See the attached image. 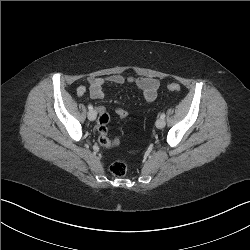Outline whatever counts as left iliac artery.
Here are the masks:
<instances>
[{
	"instance_id": "1",
	"label": "left iliac artery",
	"mask_w": 250,
	"mask_h": 250,
	"mask_svg": "<svg viewBox=\"0 0 250 250\" xmlns=\"http://www.w3.org/2000/svg\"><path fill=\"white\" fill-rule=\"evenodd\" d=\"M160 117H161L162 119H164V118H165V114L162 113Z\"/></svg>"
}]
</instances>
